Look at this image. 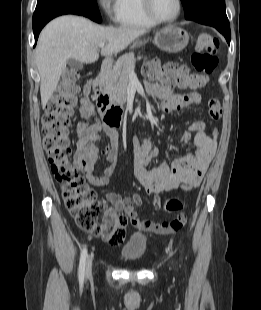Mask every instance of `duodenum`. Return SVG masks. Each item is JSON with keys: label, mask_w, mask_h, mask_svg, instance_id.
Listing matches in <instances>:
<instances>
[{"label": "duodenum", "mask_w": 261, "mask_h": 310, "mask_svg": "<svg viewBox=\"0 0 261 310\" xmlns=\"http://www.w3.org/2000/svg\"><path fill=\"white\" fill-rule=\"evenodd\" d=\"M110 68L111 62L103 61L100 74L92 81V88L97 114L102 125L106 128H115L122 124L126 117V111L122 106L112 104L104 89V76Z\"/></svg>", "instance_id": "410a0bca"}]
</instances>
